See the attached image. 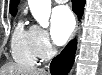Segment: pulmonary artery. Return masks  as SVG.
Returning a JSON list of instances; mask_svg holds the SVG:
<instances>
[{
  "label": "pulmonary artery",
  "mask_w": 102,
  "mask_h": 75,
  "mask_svg": "<svg viewBox=\"0 0 102 75\" xmlns=\"http://www.w3.org/2000/svg\"><path fill=\"white\" fill-rule=\"evenodd\" d=\"M57 2H59V3H65V2H67V0H58Z\"/></svg>",
  "instance_id": "e3ab8cb5"
}]
</instances>
